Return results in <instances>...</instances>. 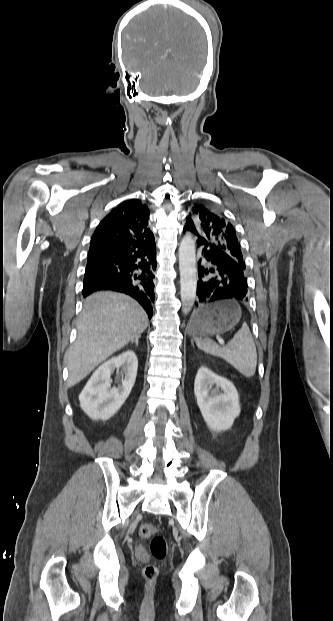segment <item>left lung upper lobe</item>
Instances as JSON below:
<instances>
[{
    "mask_svg": "<svg viewBox=\"0 0 333 621\" xmlns=\"http://www.w3.org/2000/svg\"><path fill=\"white\" fill-rule=\"evenodd\" d=\"M185 227L196 230L199 236L214 243L230 255L239 266L245 268L235 229L219 211L194 204L186 218Z\"/></svg>",
    "mask_w": 333,
    "mask_h": 621,
    "instance_id": "5c2ea615",
    "label": "left lung upper lobe"
}]
</instances>
